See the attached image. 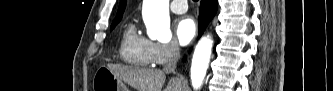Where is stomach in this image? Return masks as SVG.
<instances>
[{"label":"stomach","instance_id":"1","mask_svg":"<svg viewBox=\"0 0 333 91\" xmlns=\"http://www.w3.org/2000/svg\"><path fill=\"white\" fill-rule=\"evenodd\" d=\"M93 91H129L125 84L107 67L101 66L96 71L92 83Z\"/></svg>","mask_w":333,"mask_h":91}]
</instances>
